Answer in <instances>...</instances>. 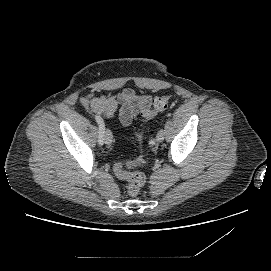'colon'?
<instances>
[{
  "label": "colon",
  "mask_w": 271,
  "mask_h": 271,
  "mask_svg": "<svg viewBox=\"0 0 271 271\" xmlns=\"http://www.w3.org/2000/svg\"><path fill=\"white\" fill-rule=\"evenodd\" d=\"M172 99V95H165L163 97H158L153 100L152 106L145 110L141 114V118L143 121H147L157 113L163 111L168 106L169 102ZM138 139L141 140L142 134L139 132ZM145 163V156L141 154L137 160L134 162L127 163H116L113 167L115 175L127 182V191L128 194L132 197H135L139 194L142 186L145 183V176L141 172L137 171H127V168L136 167L143 165Z\"/></svg>",
  "instance_id": "1"
}]
</instances>
